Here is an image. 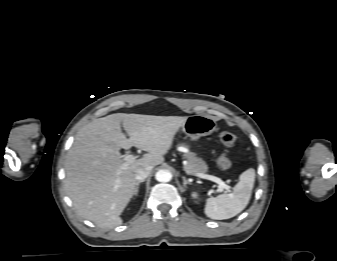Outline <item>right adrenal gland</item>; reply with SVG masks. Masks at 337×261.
Wrapping results in <instances>:
<instances>
[{"instance_id":"2a0ac1e0","label":"right adrenal gland","mask_w":337,"mask_h":261,"mask_svg":"<svg viewBox=\"0 0 337 261\" xmlns=\"http://www.w3.org/2000/svg\"><path fill=\"white\" fill-rule=\"evenodd\" d=\"M142 182H144V180H141V181H138V182H137L136 191H135V196H137L138 190H139V184L142 183Z\"/></svg>"}]
</instances>
